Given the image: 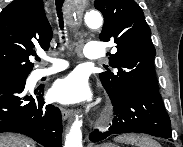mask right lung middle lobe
<instances>
[{
	"label": "right lung middle lobe",
	"instance_id": "obj_1",
	"mask_svg": "<svg viewBox=\"0 0 183 147\" xmlns=\"http://www.w3.org/2000/svg\"><path fill=\"white\" fill-rule=\"evenodd\" d=\"M27 77H22V78H18V79H13V80H9V81H23V80H26ZM9 81H6V82H9ZM2 83H5V82H2ZM0 83V84H2Z\"/></svg>",
	"mask_w": 183,
	"mask_h": 147
}]
</instances>
